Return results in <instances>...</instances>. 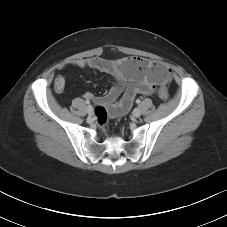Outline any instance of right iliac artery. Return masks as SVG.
<instances>
[{"label":"right iliac artery","mask_w":227,"mask_h":227,"mask_svg":"<svg viewBox=\"0 0 227 227\" xmlns=\"http://www.w3.org/2000/svg\"><path fill=\"white\" fill-rule=\"evenodd\" d=\"M86 104H88V106H91L89 100H86Z\"/></svg>","instance_id":"82829eb1"}]
</instances>
